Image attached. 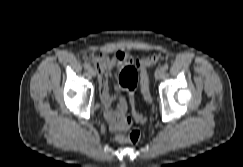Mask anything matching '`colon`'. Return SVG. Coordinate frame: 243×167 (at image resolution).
Listing matches in <instances>:
<instances>
[{
  "label": "colon",
  "mask_w": 243,
  "mask_h": 167,
  "mask_svg": "<svg viewBox=\"0 0 243 167\" xmlns=\"http://www.w3.org/2000/svg\"><path fill=\"white\" fill-rule=\"evenodd\" d=\"M160 60V55L152 54L146 57H142L136 61V68L132 66H125L119 74V83L124 88L130 97L131 103L134 104V93L137 88L138 82L140 84V90L148 102L152 100L149 78L147 69L150 66L157 64ZM137 119L139 122L145 121V117L138 115ZM131 119L129 117H122L120 121L115 123L111 129L116 133V140L121 143H136L140 139V131L137 128H131ZM126 130H129L125 133Z\"/></svg>",
  "instance_id": "obj_1"
}]
</instances>
